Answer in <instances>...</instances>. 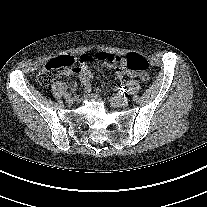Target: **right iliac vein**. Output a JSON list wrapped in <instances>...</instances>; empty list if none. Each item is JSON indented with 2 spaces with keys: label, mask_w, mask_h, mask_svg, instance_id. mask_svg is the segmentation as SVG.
<instances>
[{
  "label": "right iliac vein",
  "mask_w": 207,
  "mask_h": 207,
  "mask_svg": "<svg viewBox=\"0 0 207 207\" xmlns=\"http://www.w3.org/2000/svg\"><path fill=\"white\" fill-rule=\"evenodd\" d=\"M76 101V99L74 98V97H69V98H67V102L69 103V104H73L74 102Z\"/></svg>",
  "instance_id": "63e3f726"
}]
</instances>
